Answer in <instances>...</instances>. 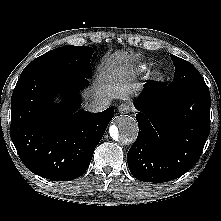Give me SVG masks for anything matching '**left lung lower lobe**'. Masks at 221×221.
<instances>
[{
  "label": "left lung lower lobe",
  "instance_id": "1",
  "mask_svg": "<svg viewBox=\"0 0 221 221\" xmlns=\"http://www.w3.org/2000/svg\"><path fill=\"white\" fill-rule=\"evenodd\" d=\"M135 106L139 133L127 154L132 175L158 183L185 174L199 160L209 135L207 85L172 89L148 81Z\"/></svg>",
  "mask_w": 221,
  "mask_h": 221
}]
</instances>
